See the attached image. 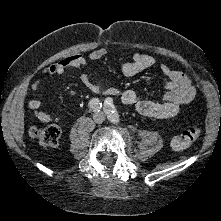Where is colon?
Wrapping results in <instances>:
<instances>
[{"instance_id": "5ec220e1", "label": "colon", "mask_w": 221, "mask_h": 221, "mask_svg": "<svg viewBox=\"0 0 221 221\" xmlns=\"http://www.w3.org/2000/svg\"><path fill=\"white\" fill-rule=\"evenodd\" d=\"M30 135L40 145L48 148H56L59 144L61 130L57 125L35 127L30 131ZM200 136V129L192 127L177 134L171 139V147L176 151L189 148Z\"/></svg>"}]
</instances>
